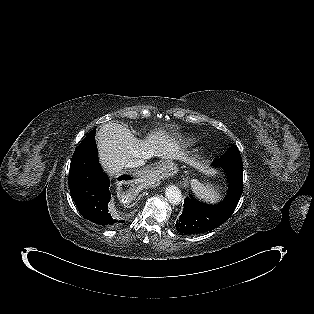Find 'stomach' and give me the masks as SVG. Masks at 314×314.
<instances>
[{
  "label": "stomach",
  "instance_id": "1",
  "mask_svg": "<svg viewBox=\"0 0 314 314\" xmlns=\"http://www.w3.org/2000/svg\"><path fill=\"white\" fill-rule=\"evenodd\" d=\"M168 163L170 164L172 168H175V166L171 162L168 161Z\"/></svg>",
  "mask_w": 314,
  "mask_h": 314
}]
</instances>
